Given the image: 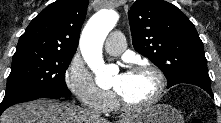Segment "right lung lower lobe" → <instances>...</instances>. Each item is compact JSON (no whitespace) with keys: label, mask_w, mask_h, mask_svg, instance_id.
<instances>
[{"label":"right lung lower lobe","mask_w":221,"mask_h":123,"mask_svg":"<svg viewBox=\"0 0 221 123\" xmlns=\"http://www.w3.org/2000/svg\"><path fill=\"white\" fill-rule=\"evenodd\" d=\"M40 98H52V99H63V98H66V97H63L62 95L56 93V92H51V93H48V94H45L43 96H41ZM11 106V105H10ZM9 106H5V107H1L0 109V115L2 114V112L7 109Z\"/></svg>","instance_id":"right-lung-lower-lobe-1"}]
</instances>
